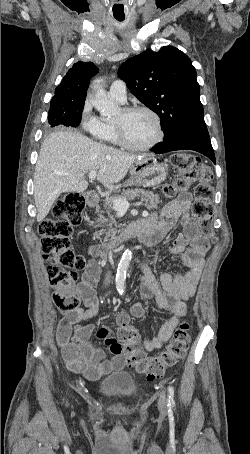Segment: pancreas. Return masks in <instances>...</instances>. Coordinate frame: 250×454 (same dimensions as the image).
I'll use <instances>...</instances> for the list:
<instances>
[{
    "label": "pancreas",
    "instance_id": "1",
    "mask_svg": "<svg viewBox=\"0 0 250 454\" xmlns=\"http://www.w3.org/2000/svg\"><path fill=\"white\" fill-rule=\"evenodd\" d=\"M140 195H142V200L146 201V203H147L146 206H147V209H149V210L156 209L158 207V204L161 203L158 195H156L150 191H144V190H138V189L125 191L124 193L117 196L116 198L128 199V198L139 197ZM116 198H114V199H116ZM112 201H113V199H111V198L106 199L103 202V208H100L99 206L96 207V211L99 213L98 219H97L98 226L106 227V229H102L100 231L95 232L93 235V239H101V236L103 235V233H105V239L115 238L117 229L114 228L113 226L116 227L117 222H116L114 216L111 214V211L113 209ZM104 213H107L109 217L105 218ZM153 216L156 217L155 214H153L152 217Z\"/></svg>",
    "mask_w": 250,
    "mask_h": 454
}]
</instances>
